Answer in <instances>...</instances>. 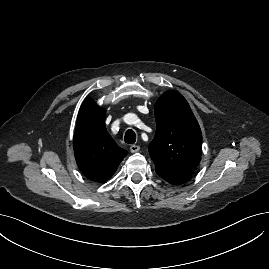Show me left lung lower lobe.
I'll return each mask as SVG.
<instances>
[{"instance_id": "obj_1", "label": "left lung lower lobe", "mask_w": 269, "mask_h": 269, "mask_svg": "<svg viewBox=\"0 0 269 269\" xmlns=\"http://www.w3.org/2000/svg\"><path fill=\"white\" fill-rule=\"evenodd\" d=\"M156 173L165 181L173 185H180L191 179V175L173 174V173H166V172H161V171H156Z\"/></svg>"}]
</instances>
